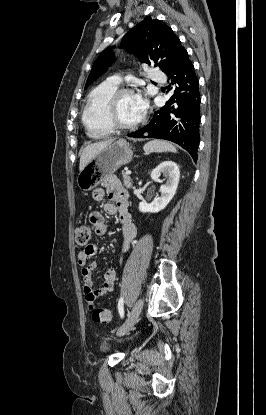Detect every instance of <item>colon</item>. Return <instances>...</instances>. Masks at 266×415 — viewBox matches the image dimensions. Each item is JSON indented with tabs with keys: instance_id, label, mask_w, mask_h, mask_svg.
I'll use <instances>...</instances> for the list:
<instances>
[{
	"instance_id": "5ec220e1",
	"label": "colon",
	"mask_w": 266,
	"mask_h": 415,
	"mask_svg": "<svg viewBox=\"0 0 266 415\" xmlns=\"http://www.w3.org/2000/svg\"><path fill=\"white\" fill-rule=\"evenodd\" d=\"M93 228L87 224L79 225L75 230V243L78 247H85L89 244L92 235ZM112 318V313L106 308H97L92 311V319L94 322L100 324L109 323Z\"/></svg>"
}]
</instances>
